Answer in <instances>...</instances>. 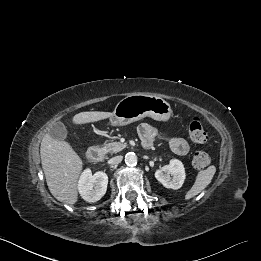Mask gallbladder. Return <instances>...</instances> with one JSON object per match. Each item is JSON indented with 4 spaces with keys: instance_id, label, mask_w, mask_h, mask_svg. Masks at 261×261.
Here are the masks:
<instances>
[{
    "instance_id": "obj_1",
    "label": "gallbladder",
    "mask_w": 261,
    "mask_h": 261,
    "mask_svg": "<svg viewBox=\"0 0 261 261\" xmlns=\"http://www.w3.org/2000/svg\"><path fill=\"white\" fill-rule=\"evenodd\" d=\"M48 134L53 139L65 140L67 137V129L62 122H56L49 128Z\"/></svg>"
}]
</instances>
